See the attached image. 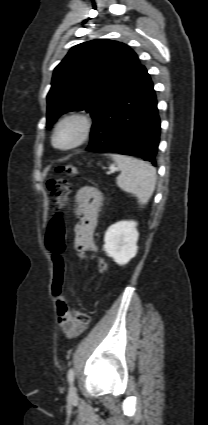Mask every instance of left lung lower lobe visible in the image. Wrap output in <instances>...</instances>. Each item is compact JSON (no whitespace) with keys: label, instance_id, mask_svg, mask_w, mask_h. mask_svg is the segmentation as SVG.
I'll return each mask as SVG.
<instances>
[{"label":"left lung lower lobe","instance_id":"left-lung-lower-lobe-1","mask_svg":"<svg viewBox=\"0 0 208 425\" xmlns=\"http://www.w3.org/2000/svg\"><path fill=\"white\" fill-rule=\"evenodd\" d=\"M159 136L155 91L143 66L94 121L87 150L139 156L156 166Z\"/></svg>","mask_w":208,"mask_h":425}]
</instances>
